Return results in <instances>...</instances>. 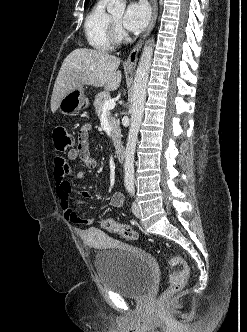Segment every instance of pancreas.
<instances>
[{
    "label": "pancreas",
    "mask_w": 247,
    "mask_h": 332,
    "mask_svg": "<svg viewBox=\"0 0 247 332\" xmlns=\"http://www.w3.org/2000/svg\"><path fill=\"white\" fill-rule=\"evenodd\" d=\"M111 96L108 92H101L96 95L94 101L95 112L97 116L100 118L103 113V105L104 102L110 100ZM108 121L111 127V134L114 146H116L121 140V132L119 128L118 120L111 115L110 111H107Z\"/></svg>",
    "instance_id": "pancreas-1"
}]
</instances>
